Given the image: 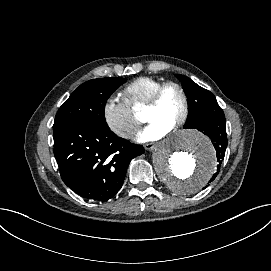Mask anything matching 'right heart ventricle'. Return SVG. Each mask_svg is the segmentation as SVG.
Wrapping results in <instances>:
<instances>
[{
    "label": "right heart ventricle",
    "instance_id": "right-heart-ventricle-1",
    "mask_svg": "<svg viewBox=\"0 0 271 271\" xmlns=\"http://www.w3.org/2000/svg\"><path fill=\"white\" fill-rule=\"evenodd\" d=\"M163 83V80L143 76L133 80L124 87L123 93L127 97L130 109L138 110L145 109L146 105L150 102L151 97L157 87Z\"/></svg>",
    "mask_w": 271,
    "mask_h": 271
}]
</instances>
